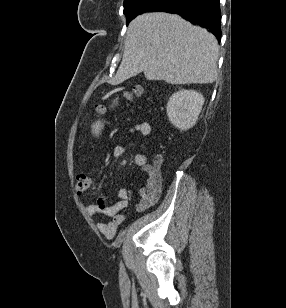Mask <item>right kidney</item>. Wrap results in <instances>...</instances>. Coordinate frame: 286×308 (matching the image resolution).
Segmentation results:
<instances>
[{"label": "right kidney", "instance_id": "ca27d5eb", "mask_svg": "<svg viewBox=\"0 0 286 308\" xmlns=\"http://www.w3.org/2000/svg\"><path fill=\"white\" fill-rule=\"evenodd\" d=\"M204 104V97L194 90H180L167 103L169 121L177 128L186 130L193 127Z\"/></svg>", "mask_w": 286, "mask_h": 308}]
</instances>
